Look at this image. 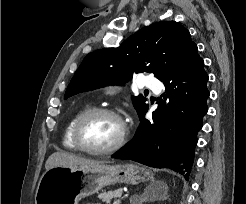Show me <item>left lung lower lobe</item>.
I'll return each instance as SVG.
<instances>
[{
	"label": "left lung lower lobe",
	"mask_w": 246,
	"mask_h": 204,
	"mask_svg": "<svg viewBox=\"0 0 246 204\" xmlns=\"http://www.w3.org/2000/svg\"><path fill=\"white\" fill-rule=\"evenodd\" d=\"M204 61L196 44L162 80L165 93L159 98L152 120L142 121L134 138L112 158L134 160L155 168H170L188 180L197 144V133L207 113L209 97Z\"/></svg>",
	"instance_id": "left-lung-lower-lobe-1"
}]
</instances>
